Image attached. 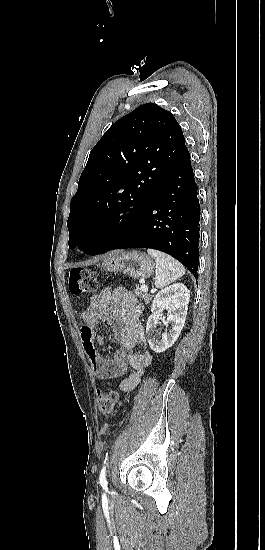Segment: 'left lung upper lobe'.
Returning a JSON list of instances; mask_svg holds the SVG:
<instances>
[{
  "label": "left lung upper lobe",
  "instance_id": "5c2ea615",
  "mask_svg": "<svg viewBox=\"0 0 265 550\" xmlns=\"http://www.w3.org/2000/svg\"><path fill=\"white\" fill-rule=\"evenodd\" d=\"M175 117L147 103L116 121L91 150L67 221L69 248L96 255L140 218L187 152Z\"/></svg>",
  "mask_w": 265,
  "mask_h": 550
}]
</instances>
